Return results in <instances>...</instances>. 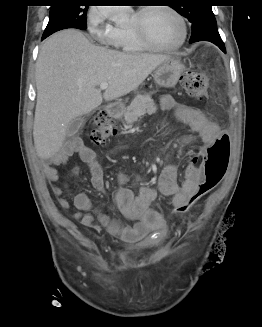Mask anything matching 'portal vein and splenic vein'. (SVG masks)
<instances>
[{
	"instance_id": "portal-vein-and-splenic-vein-1",
	"label": "portal vein and splenic vein",
	"mask_w": 262,
	"mask_h": 327,
	"mask_svg": "<svg viewBox=\"0 0 262 327\" xmlns=\"http://www.w3.org/2000/svg\"><path fill=\"white\" fill-rule=\"evenodd\" d=\"M108 86H109V84H108L107 82H103V83H101V84L99 85L100 89H102V90L107 89Z\"/></svg>"
}]
</instances>
